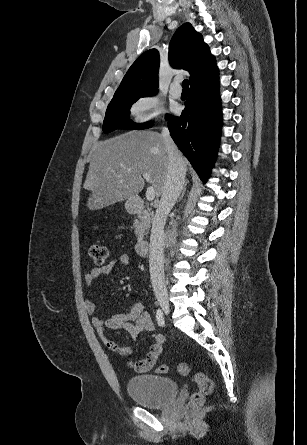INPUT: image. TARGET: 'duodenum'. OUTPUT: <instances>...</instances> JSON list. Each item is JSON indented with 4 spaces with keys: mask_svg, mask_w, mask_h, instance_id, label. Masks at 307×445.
<instances>
[{
    "mask_svg": "<svg viewBox=\"0 0 307 445\" xmlns=\"http://www.w3.org/2000/svg\"><path fill=\"white\" fill-rule=\"evenodd\" d=\"M144 207V201L141 197H133L129 200L128 210L130 213H139ZM150 244L147 240L139 241L136 246V251L140 256H146L149 253Z\"/></svg>",
    "mask_w": 307,
    "mask_h": 445,
    "instance_id": "1",
    "label": "duodenum"
}]
</instances>
